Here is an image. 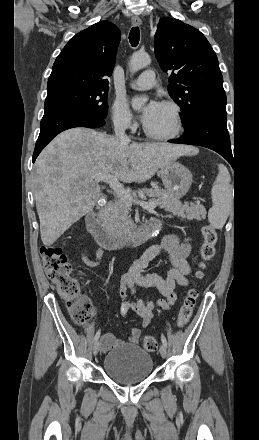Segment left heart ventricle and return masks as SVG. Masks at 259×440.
Here are the masks:
<instances>
[{"instance_id":"obj_1","label":"left heart ventricle","mask_w":259,"mask_h":440,"mask_svg":"<svg viewBox=\"0 0 259 440\" xmlns=\"http://www.w3.org/2000/svg\"><path fill=\"white\" fill-rule=\"evenodd\" d=\"M174 126L173 114L170 108L161 105L157 114L146 124V127L153 133L165 135L172 131Z\"/></svg>"}]
</instances>
